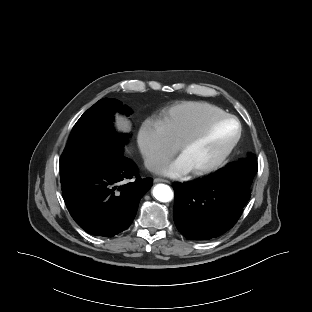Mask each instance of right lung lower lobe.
Instances as JSON below:
<instances>
[{
  "mask_svg": "<svg viewBox=\"0 0 312 312\" xmlns=\"http://www.w3.org/2000/svg\"><path fill=\"white\" fill-rule=\"evenodd\" d=\"M132 160L123 153L115 160L99 165L66 185L62 194L69 213L87 233L112 237L132 223L142 196L150 189L151 178H137Z\"/></svg>",
  "mask_w": 312,
  "mask_h": 312,
  "instance_id": "1",
  "label": "right lung lower lobe"
}]
</instances>
